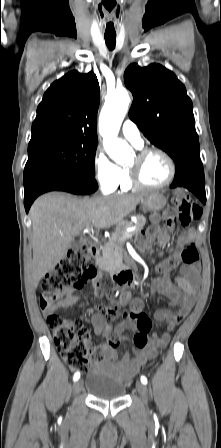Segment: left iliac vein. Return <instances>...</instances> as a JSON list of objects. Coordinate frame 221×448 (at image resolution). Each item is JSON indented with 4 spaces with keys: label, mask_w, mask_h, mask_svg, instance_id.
I'll return each instance as SVG.
<instances>
[{
    "label": "left iliac vein",
    "mask_w": 221,
    "mask_h": 448,
    "mask_svg": "<svg viewBox=\"0 0 221 448\" xmlns=\"http://www.w3.org/2000/svg\"><path fill=\"white\" fill-rule=\"evenodd\" d=\"M136 389H137L138 393L142 396V398L144 400V403L147 406L148 399H147V388H146V386L142 382H137L136 383Z\"/></svg>",
    "instance_id": "1"
}]
</instances>
